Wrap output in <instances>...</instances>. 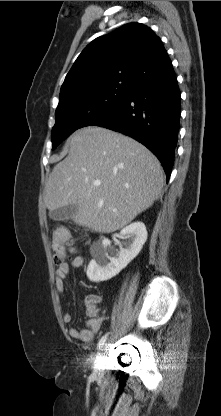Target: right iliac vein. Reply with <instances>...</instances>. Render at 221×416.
Here are the masks:
<instances>
[{
	"label": "right iliac vein",
	"instance_id": "right-iliac-vein-1",
	"mask_svg": "<svg viewBox=\"0 0 221 416\" xmlns=\"http://www.w3.org/2000/svg\"><path fill=\"white\" fill-rule=\"evenodd\" d=\"M102 357V353H99L98 355H97V361H96V364H95V368H96V370L98 371L99 369H100V358Z\"/></svg>",
	"mask_w": 221,
	"mask_h": 416
}]
</instances>
